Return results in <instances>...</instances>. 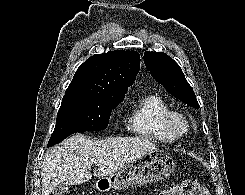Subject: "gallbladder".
Here are the masks:
<instances>
[{"mask_svg": "<svg viewBox=\"0 0 245 195\" xmlns=\"http://www.w3.org/2000/svg\"><path fill=\"white\" fill-rule=\"evenodd\" d=\"M67 192H68V185H64V184L57 185L52 191L53 195H65V193Z\"/></svg>", "mask_w": 245, "mask_h": 195, "instance_id": "1", "label": "gallbladder"}]
</instances>
